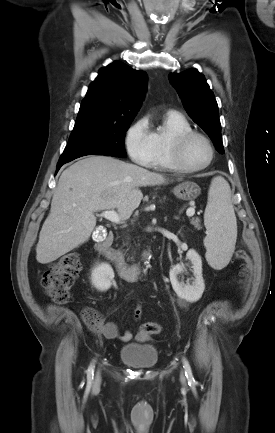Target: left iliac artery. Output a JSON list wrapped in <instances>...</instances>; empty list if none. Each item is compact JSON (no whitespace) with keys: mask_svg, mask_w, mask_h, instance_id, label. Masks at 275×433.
Instances as JSON below:
<instances>
[{"mask_svg":"<svg viewBox=\"0 0 275 433\" xmlns=\"http://www.w3.org/2000/svg\"><path fill=\"white\" fill-rule=\"evenodd\" d=\"M183 367L185 369V376L187 377L188 381L189 382L194 381L191 366L185 357H183Z\"/></svg>","mask_w":275,"mask_h":433,"instance_id":"1","label":"left iliac artery"}]
</instances>
